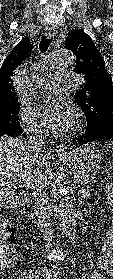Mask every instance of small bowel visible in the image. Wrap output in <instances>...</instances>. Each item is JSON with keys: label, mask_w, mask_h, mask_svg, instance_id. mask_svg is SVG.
Listing matches in <instances>:
<instances>
[{"label": "small bowel", "mask_w": 113, "mask_h": 279, "mask_svg": "<svg viewBox=\"0 0 113 279\" xmlns=\"http://www.w3.org/2000/svg\"><path fill=\"white\" fill-rule=\"evenodd\" d=\"M111 204L113 205V196H110ZM97 266L99 269L106 272L111 279H113V221L112 226L105 234L102 251L97 260Z\"/></svg>", "instance_id": "c3829d8e"}]
</instances>
